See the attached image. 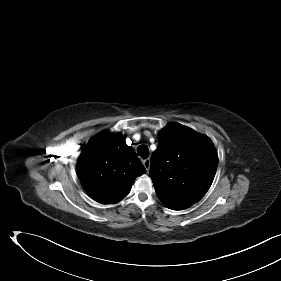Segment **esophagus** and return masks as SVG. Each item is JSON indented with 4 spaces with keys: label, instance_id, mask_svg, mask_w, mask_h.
Instances as JSON below:
<instances>
[{
    "label": "esophagus",
    "instance_id": "obj_1",
    "mask_svg": "<svg viewBox=\"0 0 281 281\" xmlns=\"http://www.w3.org/2000/svg\"><path fill=\"white\" fill-rule=\"evenodd\" d=\"M142 163H143L144 167L146 168V170L148 171L150 168L151 160L149 158H147V159H144L142 161Z\"/></svg>",
    "mask_w": 281,
    "mask_h": 281
}]
</instances>
